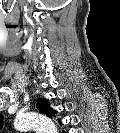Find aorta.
<instances>
[{
    "mask_svg": "<svg viewBox=\"0 0 120 133\" xmlns=\"http://www.w3.org/2000/svg\"><path fill=\"white\" fill-rule=\"evenodd\" d=\"M15 127L19 130L28 128L39 129L41 131H48V129L54 130L53 123L48 120L47 117L38 113H31L18 117Z\"/></svg>",
    "mask_w": 120,
    "mask_h": 133,
    "instance_id": "obj_1",
    "label": "aorta"
}]
</instances>
